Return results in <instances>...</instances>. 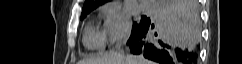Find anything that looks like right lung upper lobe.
I'll return each instance as SVG.
<instances>
[{
	"label": "right lung upper lobe",
	"mask_w": 242,
	"mask_h": 64,
	"mask_svg": "<svg viewBox=\"0 0 242 64\" xmlns=\"http://www.w3.org/2000/svg\"><path fill=\"white\" fill-rule=\"evenodd\" d=\"M108 0H85L83 9H82V13H87L92 11L93 9H95L96 7H98L99 5L107 2Z\"/></svg>",
	"instance_id": "obj_1"
}]
</instances>
